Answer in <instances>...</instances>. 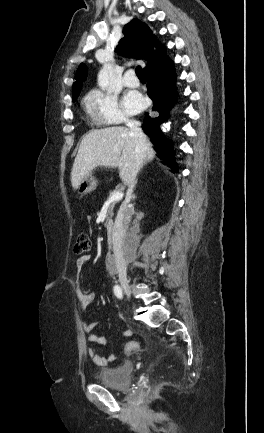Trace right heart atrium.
<instances>
[{
    "mask_svg": "<svg viewBox=\"0 0 264 433\" xmlns=\"http://www.w3.org/2000/svg\"><path fill=\"white\" fill-rule=\"evenodd\" d=\"M86 106L92 118L99 124H120L129 122L118 98L109 92L92 90L86 98Z\"/></svg>",
    "mask_w": 264,
    "mask_h": 433,
    "instance_id": "obj_1",
    "label": "right heart atrium"
}]
</instances>
